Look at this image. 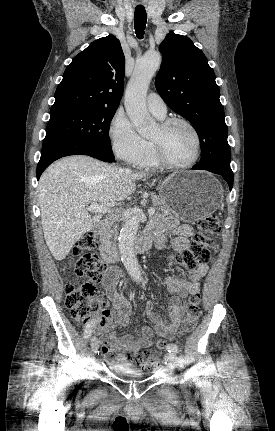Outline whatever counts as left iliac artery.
Segmentation results:
<instances>
[{
    "label": "left iliac artery",
    "mask_w": 275,
    "mask_h": 431,
    "mask_svg": "<svg viewBox=\"0 0 275 431\" xmlns=\"http://www.w3.org/2000/svg\"><path fill=\"white\" fill-rule=\"evenodd\" d=\"M166 349L170 353H179L180 352L179 347L177 345H175V344H169V345H167Z\"/></svg>",
    "instance_id": "44dca946"
}]
</instances>
